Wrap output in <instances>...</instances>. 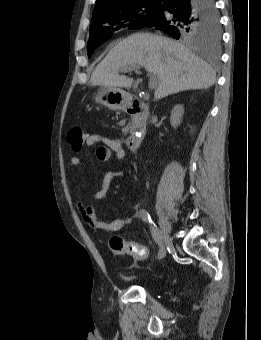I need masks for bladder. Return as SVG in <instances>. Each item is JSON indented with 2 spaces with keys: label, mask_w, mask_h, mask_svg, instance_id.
Masks as SVG:
<instances>
[{
  "label": "bladder",
  "mask_w": 261,
  "mask_h": 340,
  "mask_svg": "<svg viewBox=\"0 0 261 340\" xmlns=\"http://www.w3.org/2000/svg\"><path fill=\"white\" fill-rule=\"evenodd\" d=\"M126 279H131V278H133V277H131V276H124Z\"/></svg>",
  "instance_id": "obj_1"
}]
</instances>
